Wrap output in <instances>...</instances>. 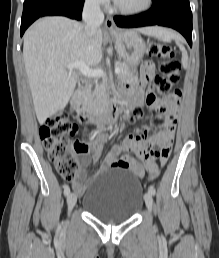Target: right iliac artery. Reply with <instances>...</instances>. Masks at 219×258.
I'll list each match as a JSON object with an SVG mask.
<instances>
[{
    "label": "right iliac artery",
    "mask_w": 219,
    "mask_h": 258,
    "mask_svg": "<svg viewBox=\"0 0 219 258\" xmlns=\"http://www.w3.org/2000/svg\"><path fill=\"white\" fill-rule=\"evenodd\" d=\"M69 193H70V187L67 185V186H65V188H64V195H65V196H68Z\"/></svg>",
    "instance_id": "1"
}]
</instances>
